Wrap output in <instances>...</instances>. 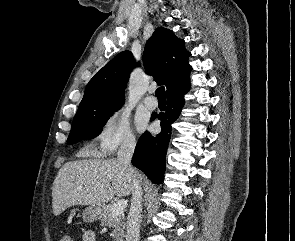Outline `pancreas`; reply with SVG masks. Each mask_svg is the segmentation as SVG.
Segmentation results:
<instances>
[{
  "mask_svg": "<svg viewBox=\"0 0 295 241\" xmlns=\"http://www.w3.org/2000/svg\"><path fill=\"white\" fill-rule=\"evenodd\" d=\"M112 208L113 205L105 207L104 213L101 217V225L113 228L111 236L114 239V241H123L125 229V216L124 214L114 216L112 214Z\"/></svg>",
  "mask_w": 295,
  "mask_h": 241,
  "instance_id": "pancreas-1",
  "label": "pancreas"
}]
</instances>
